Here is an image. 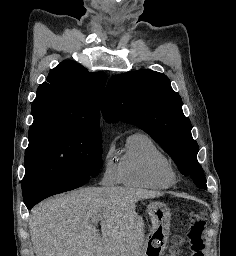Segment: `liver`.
I'll list each match as a JSON object with an SVG mask.
<instances>
[{"label": "liver", "instance_id": "1", "mask_svg": "<svg viewBox=\"0 0 236 256\" xmlns=\"http://www.w3.org/2000/svg\"><path fill=\"white\" fill-rule=\"evenodd\" d=\"M163 192L83 188L49 198L31 210L28 226L36 256H138L144 224L136 202ZM102 212L101 232L91 224Z\"/></svg>", "mask_w": 236, "mask_h": 256}]
</instances>
